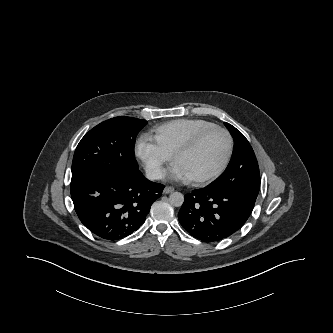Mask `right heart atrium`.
I'll use <instances>...</instances> for the list:
<instances>
[{"mask_svg": "<svg viewBox=\"0 0 333 333\" xmlns=\"http://www.w3.org/2000/svg\"><path fill=\"white\" fill-rule=\"evenodd\" d=\"M136 156L144 163L146 170L154 179L164 176L165 164L171 160V155L152 140L141 137L135 148Z\"/></svg>", "mask_w": 333, "mask_h": 333, "instance_id": "right-heart-atrium-1", "label": "right heart atrium"}]
</instances>
